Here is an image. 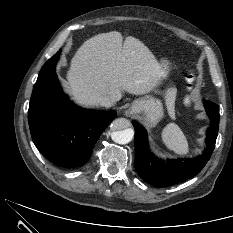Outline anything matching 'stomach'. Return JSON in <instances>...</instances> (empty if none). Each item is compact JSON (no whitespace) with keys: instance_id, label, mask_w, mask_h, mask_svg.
Instances as JSON below:
<instances>
[{"instance_id":"stomach-1","label":"stomach","mask_w":233,"mask_h":233,"mask_svg":"<svg viewBox=\"0 0 233 233\" xmlns=\"http://www.w3.org/2000/svg\"><path fill=\"white\" fill-rule=\"evenodd\" d=\"M160 65L162 71L161 78L164 79L169 73L168 62L163 60ZM153 92L158 93L159 91L154 89ZM128 112L132 115L140 116L146 124L151 126L156 125L164 115L161 101L153 95H145L134 100Z\"/></svg>"}]
</instances>
